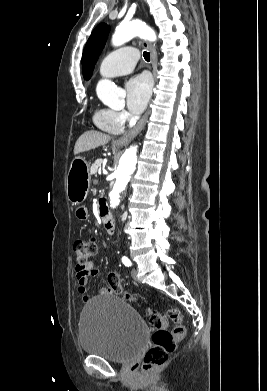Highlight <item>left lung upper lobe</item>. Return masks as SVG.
I'll return each mask as SVG.
<instances>
[{
    "label": "left lung upper lobe",
    "instance_id": "5c2ea615",
    "mask_svg": "<svg viewBox=\"0 0 267 391\" xmlns=\"http://www.w3.org/2000/svg\"><path fill=\"white\" fill-rule=\"evenodd\" d=\"M109 33V26L105 23L99 24L88 39L82 55L83 76L88 80L93 72L94 65L101 54Z\"/></svg>",
    "mask_w": 267,
    "mask_h": 391
}]
</instances>
